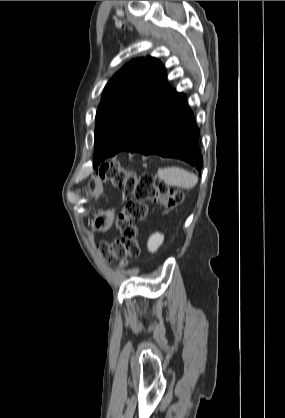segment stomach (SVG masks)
I'll use <instances>...</instances> for the list:
<instances>
[{
  "label": "stomach",
  "instance_id": "stomach-1",
  "mask_svg": "<svg viewBox=\"0 0 285 418\" xmlns=\"http://www.w3.org/2000/svg\"><path fill=\"white\" fill-rule=\"evenodd\" d=\"M112 220H113V214L109 211L107 214H106V218H105V220H104V223L103 224H101L98 220L95 222L94 221V223H93V225H94V227L95 228H99V229H102V230H106V229H108L109 227H110V225H111V223H112Z\"/></svg>",
  "mask_w": 285,
  "mask_h": 418
}]
</instances>
